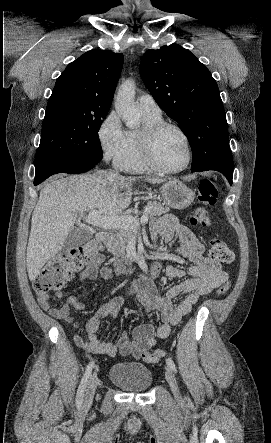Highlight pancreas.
<instances>
[{"instance_id": "pancreas-1", "label": "pancreas", "mask_w": 271, "mask_h": 443, "mask_svg": "<svg viewBox=\"0 0 271 443\" xmlns=\"http://www.w3.org/2000/svg\"><path fill=\"white\" fill-rule=\"evenodd\" d=\"M146 208H150L149 218H154V216H162L169 212V208H164L163 204H158V202H148ZM136 227H128V229H118L114 235H111L110 239L106 241L105 245L108 251H112L116 257H120L122 261H126L127 257L125 255L126 245L131 239Z\"/></svg>"}]
</instances>
